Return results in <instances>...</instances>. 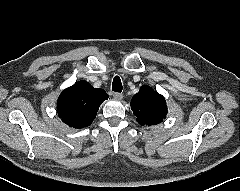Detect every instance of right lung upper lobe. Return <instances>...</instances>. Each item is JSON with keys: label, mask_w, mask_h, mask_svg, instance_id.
Masks as SVG:
<instances>
[{"label": "right lung upper lobe", "mask_w": 240, "mask_h": 191, "mask_svg": "<svg viewBox=\"0 0 240 191\" xmlns=\"http://www.w3.org/2000/svg\"><path fill=\"white\" fill-rule=\"evenodd\" d=\"M108 98L103 89H95L82 80L61 93L57 102V112L68 126L84 128L92 124L99 106Z\"/></svg>", "instance_id": "cb5924a9"}]
</instances>
